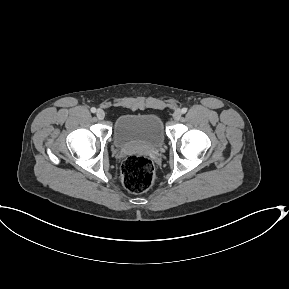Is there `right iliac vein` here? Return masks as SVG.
<instances>
[{"label":"right iliac vein","instance_id":"right-iliac-vein-1","mask_svg":"<svg viewBox=\"0 0 289 289\" xmlns=\"http://www.w3.org/2000/svg\"><path fill=\"white\" fill-rule=\"evenodd\" d=\"M96 116L98 119L102 120L105 117V112L102 109H98L96 111Z\"/></svg>","mask_w":289,"mask_h":289}]
</instances>
